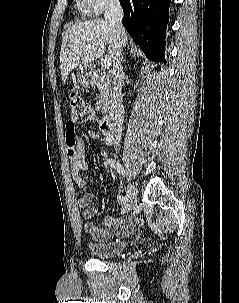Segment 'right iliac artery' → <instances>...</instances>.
<instances>
[{
  "label": "right iliac artery",
  "instance_id": "1",
  "mask_svg": "<svg viewBox=\"0 0 239 303\" xmlns=\"http://www.w3.org/2000/svg\"><path fill=\"white\" fill-rule=\"evenodd\" d=\"M106 163L110 167L114 168L119 174H123L125 172L123 166L118 161H116L115 159L108 158V159H106ZM125 199H126L125 196H120L119 199H118L119 204L123 205L124 202H125Z\"/></svg>",
  "mask_w": 239,
  "mask_h": 303
}]
</instances>
